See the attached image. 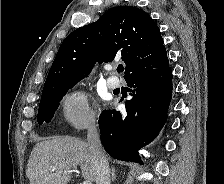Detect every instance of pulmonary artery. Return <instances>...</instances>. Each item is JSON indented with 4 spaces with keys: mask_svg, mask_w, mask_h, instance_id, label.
I'll list each match as a JSON object with an SVG mask.
<instances>
[{
    "mask_svg": "<svg viewBox=\"0 0 224 184\" xmlns=\"http://www.w3.org/2000/svg\"><path fill=\"white\" fill-rule=\"evenodd\" d=\"M106 84L110 89H115L120 86V81L115 76H110L106 79Z\"/></svg>",
    "mask_w": 224,
    "mask_h": 184,
    "instance_id": "pulmonary-artery-1",
    "label": "pulmonary artery"
}]
</instances>
